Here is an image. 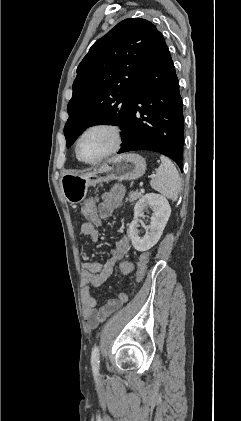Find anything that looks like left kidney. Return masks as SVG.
Instances as JSON below:
<instances>
[{"label": "left kidney", "mask_w": 241, "mask_h": 421, "mask_svg": "<svg viewBox=\"0 0 241 421\" xmlns=\"http://www.w3.org/2000/svg\"><path fill=\"white\" fill-rule=\"evenodd\" d=\"M150 207L152 217L147 233L140 237L138 230V218L143 214V210ZM171 214V207L165 197L148 193L144 195L134 207V220L129 225V236L133 247L140 252L147 251L153 247L160 239L163 230Z\"/></svg>", "instance_id": "1"}]
</instances>
